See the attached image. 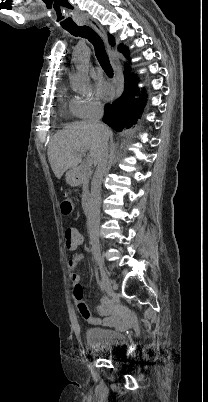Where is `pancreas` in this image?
Wrapping results in <instances>:
<instances>
[{
  "instance_id": "1",
  "label": "pancreas",
  "mask_w": 208,
  "mask_h": 402,
  "mask_svg": "<svg viewBox=\"0 0 208 402\" xmlns=\"http://www.w3.org/2000/svg\"><path fill=\"white\" fill-rule=\"evenodd\" d=\"M92 172L90 170H80V176H83V196L89 194V178H91Z\"/></svg>"
}]
</instances>
